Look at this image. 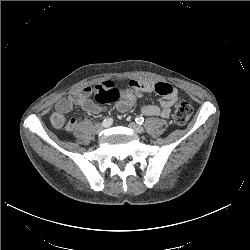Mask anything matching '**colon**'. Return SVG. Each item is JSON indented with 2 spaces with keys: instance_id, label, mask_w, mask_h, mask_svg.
<instances>
[{
  "instance_id": "colon-1",
  "label": "colon",
  "mask_w": 250,
  "mask_h": 250,
  "mask_svg": "<svg viewBox=\"0 0 250 250\" xmlns=\"http://www.w3.org/2000/svg\"><path fill=\"white\" fill-rule=\"evenodd\" d=\"M94 98L100 104L117 103L121 112H127L135 103L137 93L133 90H120L115 83L106 81L93 89ZM192 106L184 98L179 97L173 113V119L178 125L188 122L192 115Z\"/></svg>"
}]
</instances>
